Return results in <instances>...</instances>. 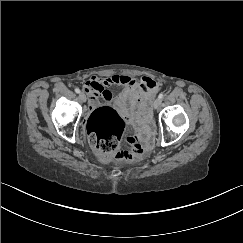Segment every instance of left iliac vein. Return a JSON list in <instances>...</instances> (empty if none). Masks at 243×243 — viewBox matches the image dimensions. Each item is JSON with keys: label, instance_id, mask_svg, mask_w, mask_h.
Returning a JSON list of instances; mask_svg holds the SVG:
<instances>
[{"label": "left iliac vein", "instance_id": "4c4485c4", "mask_svg": "<svg viewBox=\"0 0 243 243\" xmlns=\"http://www.w3.org/2000/svg\"><path fill=\"white\" fill-rule=\"evenodd\" d=\"M161 105V100L159 98L155 99L154 103H153V108L154 109H158Z\"/></svg>", "mask_w": 243, "mask_h": 243}]
</instances>
